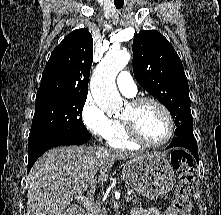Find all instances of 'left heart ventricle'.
<instances>
[{"label":"left heart ventricle","instance_id":"left-heart-ventricle-1","mask_svg":"<svg viewBox=\"0 0 221 215\" xmlns=\"http://www.w3.org/2000/svg\"><path fill=\"white\" fill-rule=\"evenodd\" d=\"M134 114L137 129L150 143L161 142L168 132V122L163 111L153 103L146 102L135 111L128 105L122 117Z\"/></svg>","mask_w":221,"mask_h":215}]
</instances>
